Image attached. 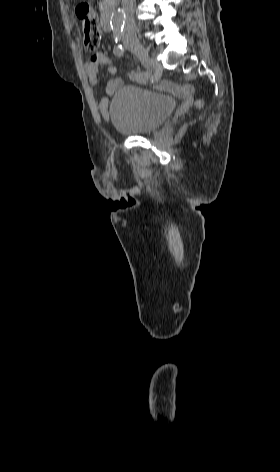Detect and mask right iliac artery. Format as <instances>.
<instances>
[{"label": "right iliac artery", "mask_w": 280, "mask_h": 472, "mask_svg": "<svg viewBox=\"0 0 280 472\" xmlns=\"http://www.w3.org/2000/svg\"><path fill=\"white\" fill-rule=\"evenodd\" d=\"M114 53L117 56H122L123 53H124V48L122 47V45L115 46L114 47ZM149 77H150V73L148 71H137L136 72V78L139 81L147 82Z\"/></svg>", "instance_id": "82829eb1"}]
</instances>
